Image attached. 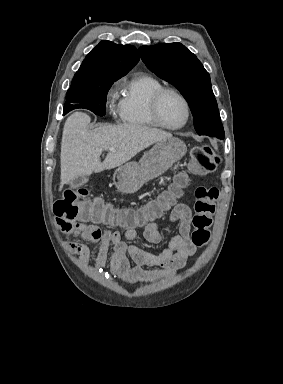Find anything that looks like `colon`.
I'll return each mask as SVG.
<instances>
[{"label": "colon", "instance_id": "1", "mask_svg": "<svg viewBox=\"0 0 283 384\" xmlns=\"http://www.w3.org/2000/svg\"><path fill=\"white\" fill-rule=\"evenodd\" d=\"M192 169L199 175L212 173L219 164V158L207 145L197 146L191 151ZM84 189H68L54 204L57 220L65 226L91 222L122 228H137L146 225L160 215L172 202V197L161 199L145 208H113L100 200L88 201ZM195 215L192 223V242L201 247L210 238V227L216 210L219 190L216 187L200 186L195 191Z\"/></svg>", "mask_w": 283, "mask_h": 384}]
</instances>
